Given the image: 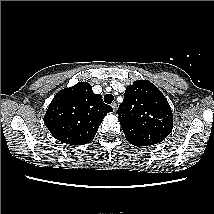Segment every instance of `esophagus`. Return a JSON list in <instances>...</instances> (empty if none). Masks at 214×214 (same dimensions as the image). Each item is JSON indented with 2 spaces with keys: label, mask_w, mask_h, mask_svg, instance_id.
<instances>
[{
  "label": "esophagus",
  "mask_w": 214,
  "mask_h": 214,
  "mask_svg": "<svg viewBox=\"0 0 214 214\" xmlns=\"http://www.w3.org/2000/svg\"><path fill=\"white\" fill-rule=\"evenodd\" d=\"M111 106H112V108H113V110H114V112H115L116 109H117V104H116L115 102H113V103L111 104Z\"/></svg>",
  "instance_id": "1"
}]
</instances>
